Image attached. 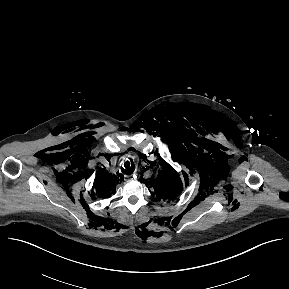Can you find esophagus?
Here are the masks:
<instances>
[{
    "label": "esophagus",
    "mask_w": 289,
    "mask_h": 289,
    "mask_svg": "<svg viewBox=\"0 0 289 289\" xmlns=\"http://www.w3.org/2000/svg\"><path fill=\"white\" fill-rule=\"evenodd\" d=\"M130 177L133 179V178H135V175H131Z\"/></svg>",
    "instance_id": "esophagus-1"
}]
</instances>
